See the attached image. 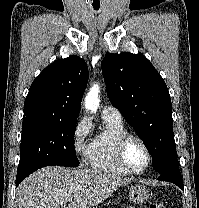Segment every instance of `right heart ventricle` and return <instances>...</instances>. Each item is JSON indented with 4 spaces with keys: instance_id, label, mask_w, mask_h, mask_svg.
<instances>
[{
    "instance_id": "right-heart-ventricle-1",
    "label": "right heart ventricle",
    "mask_w": 199,
    "mask_h": 208,
    "mask_svg": "<svg viewBox=\"0 0 199 208\" xmlns=\"http://www.w3.org/2000/svg\"><path fill=\"white\" fill-rule=\"evenodd\" d=\"M103 118V117H102ZM104 128L98 133L92 143L88 162L91 168L115 173L119 175L129 174L116 159V145L118 140L128 133L123 121L103 118Z\"/></svg>"
}]
</instances>
